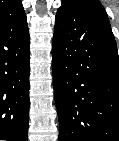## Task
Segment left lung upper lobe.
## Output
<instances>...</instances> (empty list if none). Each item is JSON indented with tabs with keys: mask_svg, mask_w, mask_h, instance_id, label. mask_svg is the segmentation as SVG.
<instances>
[{
	"mask_svg": "<svg viewBox=\"0 0 119 141\" xmlns=\"http://www.w3.org/2000/svg\"><path fill=\"white\" fill-rule=\"evenodd\" d=\"M75 8L80 11L106 15L105 9L98 0H64L59 9Z\"/></svg>",
	"mask_w": 119,
	"mask_h": 141,
	"instance_id": "left-lung-upper-lobe-1",
	"label": "left lung upper lobe"
}]
</instances>
